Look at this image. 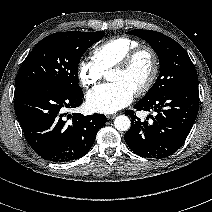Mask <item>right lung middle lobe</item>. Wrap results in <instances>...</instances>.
Returning a JSON list of instances; mask_svg holds the SVG:
<instances>
[{
	"label": "right lung middle lobe",
	"mask_w": 212,
	"mask_h": 212,
	"mask_svg": "<svg viewBox=\"0 0 212 212\" xmlns=\"http://www.w3.org/2000/svg\"><path fill=\"white\" fill-rule=\"evenodd\" d=\"M105 32L68 31L42 39L24 60L15 87L31 84L56 86L69 94H81L78 64L84 52Z\"/></svg>",
	"instance_id": "dd1d6c3e"
}]
</instances>
